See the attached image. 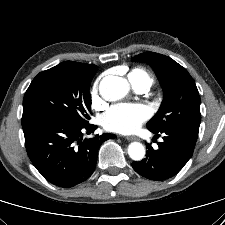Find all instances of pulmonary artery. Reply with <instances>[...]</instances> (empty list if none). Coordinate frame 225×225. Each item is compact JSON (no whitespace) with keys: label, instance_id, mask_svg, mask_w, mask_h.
<instances>
[{"label":"pulmonary artery","instance_id":"1","mask_svg":"<svg viewBox=\"0 0 225 225\" xmlns=\"http://www.w3.org/2000/svg\"><path fill=\"white\" fill-rule=\"evenodd\" d=\"M134 88L138 91V92H146L149 87L146 85H140V86H134Z\"/></svg>","mask_w":225,"mask_h":225}]
</instances>
